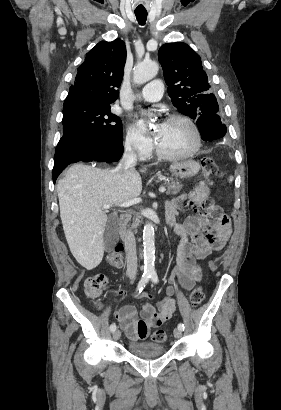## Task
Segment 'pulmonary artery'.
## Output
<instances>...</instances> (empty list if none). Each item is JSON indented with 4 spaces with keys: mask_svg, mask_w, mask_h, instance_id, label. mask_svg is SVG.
<instances>
[{
    "mask_svg": "<svg viewBox=\"0 0 281 410\" xmlns=\"http://www.w3.org/2000/svg\"><path fill=\"white\" fill-rule=\"evenodd\" d=\"M163 83L161 80H153L146 84L133 99H140L147 102H157L163 95Z\"/></svg>",
    "mask_w": 281,
    "mask_h": 410,
    "instance_id": "pulmonary-artery-1",
    "label": "pulmonary artery"
}]
</instances>
